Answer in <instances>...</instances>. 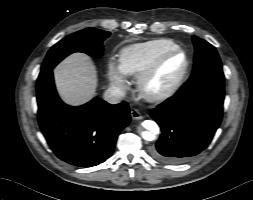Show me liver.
Here are the masks:
<instances>
[{"label":"liver","mask_w":253,"mask_h":200,"mask_svg":"<svg viewBox=\"0 0 253 200\" xmlns=\"http://www.w3.org/2000/svg\"><path fill=\"white\" fill-rule=\"evenodd\" d=\"M55 84L62 100L70 105L89 101L97 88V75L91 59L83 53H74L54 70Z\"/></svg>","instance_id":"6515ba94"}]
</instances>
